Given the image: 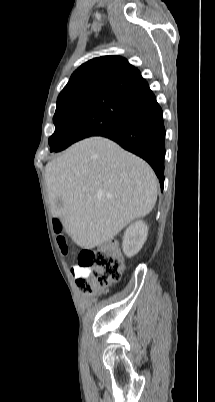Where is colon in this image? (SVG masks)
<instances>
[{
  "label": "colon",
  "instance_id": "1",
  "mask_svg": "<svg viewBox=\"0 0 215 402\" xmlns=\"http://www.w3.org/2000/svg\"><path fill=\"white\" fill-rule=\"evenodd\" d=\"M57 232L61 231V224L55 222ZM58 243L64 254L67 253L65 239L58 237ZM78 266L90 269V274L85 278L76 280L79 289L91 294L97 290L106 288L121 278L123 263L112 244H106L100 250H86L79 254Z\"/></svg>",
  "mask_w": 215,
  "mask_h": 402
}]
</instances>
